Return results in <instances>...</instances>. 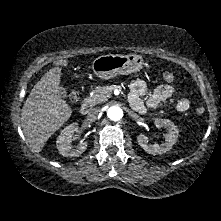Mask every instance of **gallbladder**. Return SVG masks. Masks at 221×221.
Here are the masks:
<instances>
[{"label": "gallbladder", "instance_id": "bac80fb5", "mask_svg": "<svg viewBox=\"0 0 221 221\" xmlns=\"http://www.w3.org/2000/svg\"><path fill=\"white\" fill-rule=\"evenodd\" d=\"M59 95H60L61 97H63V98H66V97H67V92H66V90H65L63 87H61L60 92H59Z\"/></svg>", "mask_w": 221, "mask_h": 221}]
</instances>
